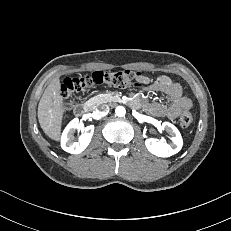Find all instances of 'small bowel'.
Instances as JSON below:
<instances>
[{"mask_svg":"<svg viewBox=\"0 0 231 231\" xmlns=\"http://www.w3.org/2000/svg\"><path fill=\"white\" fill-rule=\"evenodd\" d=\"M141 81L146 93L161 92L171 101V104L167 105L151 102L144 96L132 100L133 106L142 107L153 116L176 119L182 110L189 109L192 105L190 97L183 91L181 85L167 76L161 75L150 78L142 75Z\"/></svg>","mask_w":231,"mask_h":231,"instance_id":"c3829d8e","label":"small bowel"}]
</instances>
